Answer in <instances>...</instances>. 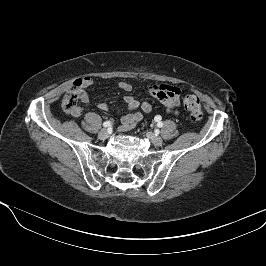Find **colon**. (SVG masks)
Returning <instances> with one entry per match:
<instances>
[{
    "label": "colon",
    "instance_id": "obj_1",
    "mask_svg": "<svg viewBox=\"0 0 266 266\" xmlns=\"http://www.w3.org/2000/svg\"><path fill=\"white\" fill-rule=\"evenodd\" d=\"M79 83L76 81L72 89L67 92L62 100V107L68 113H73L78 108ZM184 107L190 113L192 122L198 123L202 119L200 100L195 95H187L184 98Z\"/></svg>",
    "mask_w": 266,
    "mask_h": 266
}]
</instances>
